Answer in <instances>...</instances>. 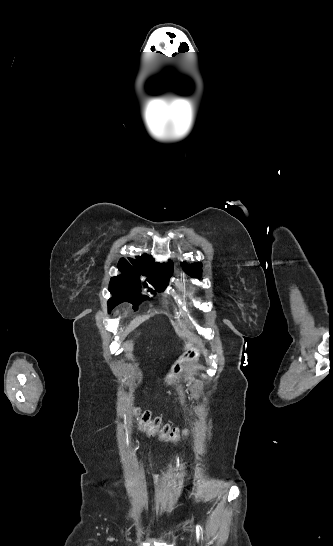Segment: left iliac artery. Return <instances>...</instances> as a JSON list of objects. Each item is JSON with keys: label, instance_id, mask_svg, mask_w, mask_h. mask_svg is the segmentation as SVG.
Wrapping results in <instances>:
<instances>
[{"label": "left iliac artery", "instance_id": "obj_1", "mask_svg": "<svg viewBox=\"0 0 333 546\" xmlns=\"http://www.w3.org/2000/svg\"><path fill=\"white\" fill-rule=\"evenodd\" d=\"M196 536H197V540H199V536H200V527H199V525L196 526Z\"/></svg>", "mask_w": 333, "mask_h": 546}]
</instances>
